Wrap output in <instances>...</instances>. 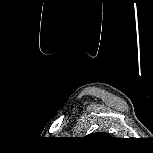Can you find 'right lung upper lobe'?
Wrapping results in <instances>:
<instances>
[{
	"instance_id": "cb5924a9",
	"label": "right lung upper lobe",
	"mask_w": 153,
	"mask_h": 153,
	"mask_svg": "<svg viewBox=\"0 0 153 153\" xmlns=\"http://www.w3.org/2000/svg\"><path fill=\"white\" fill-rule=\"evenodd\" d=\"M101 133H96V134H91L89 136H97V135H100Z\"/></svg>"
}]
</instances>
